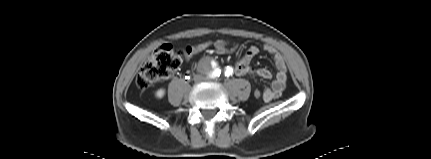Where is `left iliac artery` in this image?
Here are the masks:
<instances>
[{"label": "left iliac artery", "mask_w": 431, "mask_h": 159, "mask_svg": "<svg viewBox=\"0 0 431 159\" xmlns=\"http://www.w3.org/2000/svg\"><path fill=\"white\" fill-rule=\"evenodd\" d=\"M232 74V71H231V69L229 68V67H227V69H226V71H225V76H230ZM215 75H217V74H215Z\"/></svg>", "instance_id": "left-iliac-artery-1"}]
</instances>
